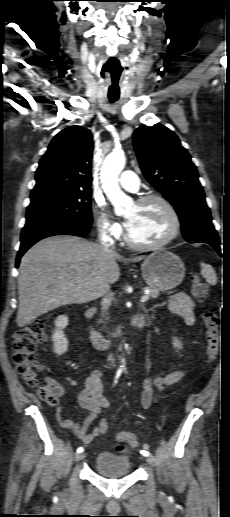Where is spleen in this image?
<instances>
[{"label": "spleen", "mask_w": 230, "mask_h": 517, "mask_svg": "<svg viewBox=\"0 0 230 517\" xmlns=\"http://www.w3.org/2000/svg\"><path fill=\"white\" fill-rule=\"evenodd\" d=\"M200 265L201 275L206 279L208 284L215 285L217 283V277L213 267L203 262Z\"/></svg>", "instance_id": "1"}]
</instances>
